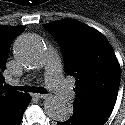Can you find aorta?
I'll return each instance as SVG.
<instances>
[{"label": "aorta", "instance_id": "762f6f07", "mask_svg": "<svg viewBox=\"0 0 125 125\" xmlns=\"http://www.w3.org/2000/svg\"><path fill=\"white\" fill-rule=\"evenodd\" d=\"M17 60L26 67L40 66L45 53V44L36 35L26 34L19 37L13 46ZM46 114L53 120L66 121L72 114V108L62 97L49 96L44 101Z\"/></svg>", "mask_w": 125, "mask_h": 125}]
</instances>
